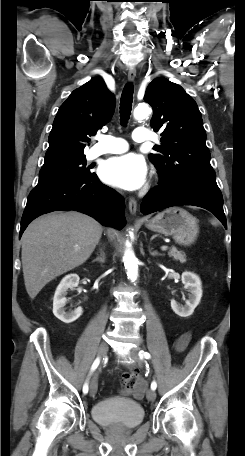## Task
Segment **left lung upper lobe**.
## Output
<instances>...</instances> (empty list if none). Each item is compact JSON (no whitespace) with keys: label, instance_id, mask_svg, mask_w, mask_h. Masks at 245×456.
Here are the masks:
<instances>
[{"label":"left lung upper lobe","instance_id":"left-lung-upper-lobe-1","mask_svg":"<svg viewBox=\"0 0 245 456\" xmlns=\"http://www.w3.org/2000/svg\"><path fill=\"white\" fill-rule=\"evenodd\" d=\"M153 108L150 125L162 130L161 146H154L149 159L162 178L202 180L216 184L206 146V132L194 99L184 89L158 77L148 86L144 97Z\"/></svg>","mask_w":245,"mask_h":456}]
</instances>
